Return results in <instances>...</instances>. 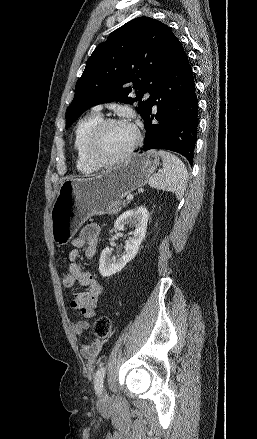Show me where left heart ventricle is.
Segmentation results:
<instances>
[{"label": "left heart ventricle", "mask_w": 257, "mask_h": 439, "mask_svg": "<svg viewBox=\"0 0 257 439\" xmlns=\"http://www.w3.org/2000/svg\"><path fill=\"white\" fill-rule=\"evenodd\" d=\"M135 132L128 125H112L101 135L96 153L104 160H109L122 153L134 140Z\"/></svg>", "instance_id": "obj_1"}]
</instances>
